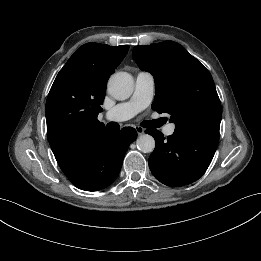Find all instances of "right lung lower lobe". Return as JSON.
I'll return each instance as SVG.
<instances>
[{"label": "right lung lower lobe", "instance_id": "98d812e1", "mask_svg": "<svg viewBox=\"0 0 261 261\" xmlns=\"http://www.w3.org/2000/svg\"><path fill=\"white\" fill-rule=\"evenodd\" d=\"M136 138L137 132L131 127L117 132L106 131L86 159L66 177L76 187L86 191L106 188L117 178L124 155Z\"/></svg>", "mask_w": 261, "mask_h": 261}]
</instances>
